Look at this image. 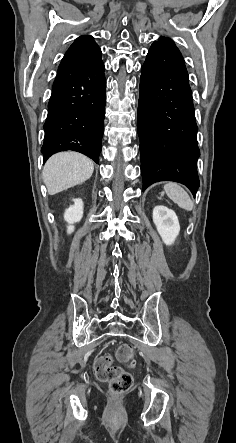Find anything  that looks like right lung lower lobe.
<instances>
[{
  "label": "right lung lower lobe",
  "mask_w": 236,
  "mask_h": 443,
  "mask_svg": "<svg viewBox=\"0 0 236 443\" xmlns=\"http://www.w3.org/2000/svg\"><path fill=\"white\" fill-rule=\"evenodd\" d=\"M103 62L59 65L44 124V161L65 150L85 154L99 163L106 80Z\"/></svg>",
  "instance_id": "obj_1"
}]
</instances>
